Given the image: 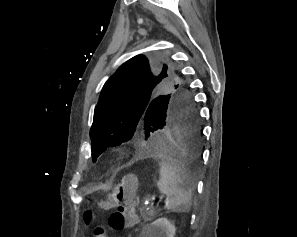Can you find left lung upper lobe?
I'll use <instances>...</instances> for the list:
<instances>
[{"label":"left lung upper lobe","mask_w":297,"mask_h":237,"mask_svg":"<svg viewBox=\"0 0 297 237\" xmlns=\"http://www.w3.org/2000/svg\"><path fill=\"white\" fill-rule=\"evenodd\" d=\"M180 101L194 104L190 88L168 59L137 55L128 60L105 83L96 105L90 130L93 162L106 147L127 142L139 154Z\"/></svg>","instance_id":"left-lung-upper-lobe-1"}]
</instances>
